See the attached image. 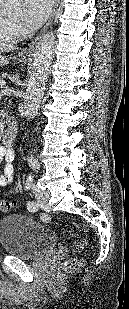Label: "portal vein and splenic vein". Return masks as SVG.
<instances>
[{
    "mask_svg": "<svg viewBox=\"0 0 129 309\" xmlns=\"http://www.w3.org/2000/svg\"><path fill=\"white\" fill-rule=\"evenodd\" d=\"M6 85V82L5 81H3V82H0V86L2 87V86H5Z\"/></svg>",
    "mask_w": 129,
    "mask_h": 309,
    "instance_id": "1",
    "label": "portal vein and splenic vein"
}]
</instances>
